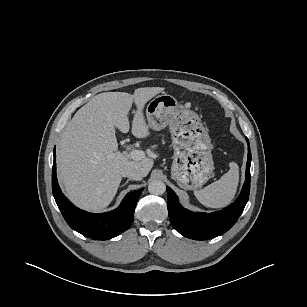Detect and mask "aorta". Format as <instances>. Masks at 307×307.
I'll use <instances>...</instances> for the list:
<instances>
[{
  "instance_id": "obj_1",
  "label": "aorta",
  "mask_w": 307,
  "mask_h": 307,
  "mask_svg": "<svg viewBox=\"0 0 307 307\" xmlns=\"http://www.w3.org/2000/svg\"><path fill=\"white\" fill-rule=\"evenodd\" d=\"M148 191L154 195H161L166 191V185L161 180H153L148 185Z\"/></svg>"
}]
</instances>
